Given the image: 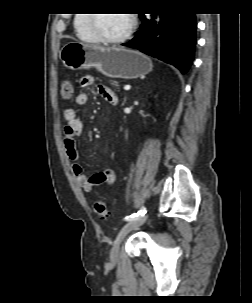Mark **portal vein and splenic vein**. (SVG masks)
Returning <instances> with one entry per match:
<instances>
[{"instance_id": "portal-vein-and-splenic-vein-1", "label": "portal vein and splenic vein", "mask_w": 252, "mask_h": 303, "mask_svg": "<svg viewBox=\"0 0 252 303\" xmlns=\"http://www.w3.org/2000/svg\"><path fill=\"white\" fill-rule=\"evenodd\" d=\"M130 88H131V86L130 85H126V86H124V90H130Z\"/></svg>"}]
</instances>
